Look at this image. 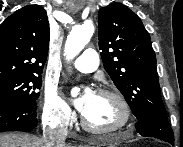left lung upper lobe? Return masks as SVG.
I'll return each instance as SVG.
<instances>
[{"instance_id":"5c2ea615","label":"left lung upper lobe","mask_w":183,"mask_h":147,"mask_svg":"<svg viewBox=\"0 0 183 147\" xmlns=\"http://www.w3.org/2000/svg\"><path fill=\"white\" fill-rule=\"evenodd\" d=\"M99 49L107 73L137 119L166 115L149 33L140 18L121 3L98 12Z\"/></svg>"}]
</instances>
